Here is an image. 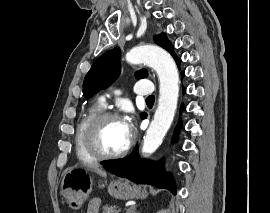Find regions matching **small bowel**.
<instances>
[{"mask_svg":"<svg viewBox=\"0 0 270 213\" xmlns=\"http://www.w3.org/2000/svg\"><path fill=\"white\" fill-rule=\"evenodd\" d=\"M100 204L97 200H92L88 204L87 213H99Z\"/></svg>","mask_w":270,"mask_h":213,"instance_id":"obj_1","label":"small bowel"}]
</instances>
